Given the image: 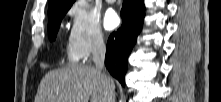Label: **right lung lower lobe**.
<instances>
[{
    "label": "right lung lower lobe",
    "mask_w": 221,
    "mask_h": 102,
    "mask_svg": "<svg viewBox=\"0 0 221 102\" xmlns=\"http://www.w3.org/2000/svg\"><path fill=\"white\" fill-rule=\"evenodd\" d=\"M144 16L145 6L142 0H125L121 10L122 26L110 35L107 42L106 67L123 86L128 55L142 29Z\"/></svg>",
    "instance_id": "1"
}]
</instances>
